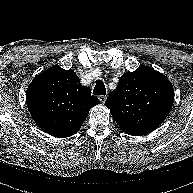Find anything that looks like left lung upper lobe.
<instances>
[{
    "instance_id": "left-lung-upper-lobe-1",
    "label": "left lung upper lobe",
    "mask_w": 193,
    "mask_h": 193,
    "mask_svg": "<svg viewBox=\"0 0 193 193\" xmlns=\"http://www.w3.org/2000/svg\"><path fill=\"white\" fill-rule=\"evenodd\" d=\"M174 102L171 82L147 66L122 75L105 106L119 127L129 135H145L168 116Z\"/></svg>"
}]
</instances>
